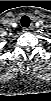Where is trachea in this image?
Instances as JSON below:
<instances>
[{
    "label": "trachea",
    "instance_id": "obj_1",
    "mask_svg": "<svg viewBox=\"0 0 51 101\" xmlns=\"http://www.w3.org/2000/svg\"><path fill=\"white\" fill-rule=\"evenodd\" d=\"M20 22H21L22 27L28 28L29 25H30V18L28 16H23L21 18V21Z\"/></svg>",
    "mask_w": 51,
    "mask_h": 101
}]
</instances>
